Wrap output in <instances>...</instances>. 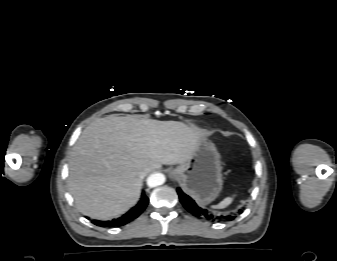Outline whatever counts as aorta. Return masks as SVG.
I'll use <instances>...</instances> for the list:
<instances>
[{
    "instance_id": "aorta-1",
    "label": "aorta",
    "mask_w": 337,
    "mask_h": 261,
    "mask_svg": "<svg viewBox=\"0 0 337 261\" xmlns=\"http://www.w3.org/2000/svg\"><path fill=\"white\" fill-rule=\"evenodd\" d=\"M165 176L162 173H153L147 178V185L151 188L164 184Z\"/></svg>"
}]
</instances>
